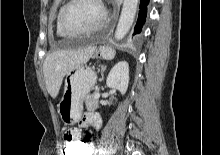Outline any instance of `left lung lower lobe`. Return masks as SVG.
<instances>
[{"mask_svg": "<svg viewBox=\"0 0 220 155\" xmlns=\"http://www.w3.org/2000/svg\"><path fill=\"white\" fill-rule=\"evenodd\" d=\"M148 3L149 0H140V11L133 35H137L141 32L142 26L145 23ZM135 39H137V36L135 37Z\"/></svg>", "mask_w": 220, "mask_h": 155, "instance_id": "obj_1", "label": "left lung lower lobe"}]
</instances>
